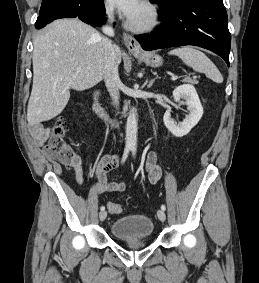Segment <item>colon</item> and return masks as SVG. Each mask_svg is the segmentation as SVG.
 <instances>
[{
	"label": "colon",
	"instance_id": "5ec220e1",
	"mask_svg": "<svg viewBox=\"0 0 259 283\" xmlns=\"http://www.w3.org/2000/svg\"><path fill=\"white\" fill-rule=\"evenodd\" d=\"M66 133L67 121L60 117L52 127V133L44 152L51 160H56L65 166H75L80 163L81 159L74 147L68 142ZM107 208L113 214H119L123 210V207L115 202L107 203Z\"/></svg>",
	"mask_w": 259,
	"mask_h": 283
}]
</instances>
